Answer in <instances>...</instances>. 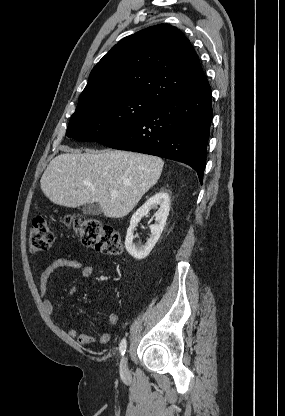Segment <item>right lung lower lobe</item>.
Here are the masks:
<instances>
[{
    "label": "right lung lower lobe",
    "instance_id": "1",
    "mask_svg": "<svg viewBox=\"0 0 285 416\" xmlns=\"http://www.w3.org/2000/svg\"><path fill=\"white\" fill-rule=\"evenodd\" d=\"M210 86L159 105L126 129L99 143L183 162L202 183L212 122Z\"/></svg>",
    "mask_w": 285,
    "mask_h": 416
}]
</instances>
